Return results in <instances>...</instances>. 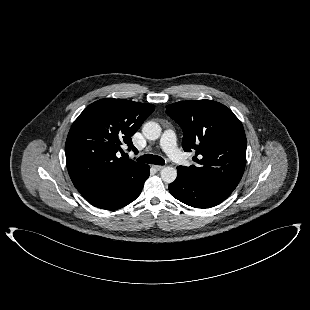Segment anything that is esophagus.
Here are the masks:
<instances>
[{
    "label": "esophagus",
    "mask_w": 310,
    "mask_h": 310,
    "mask_svg": "<svg viewBox=\"0 0 310 310\" xmlns=\"http://www.w3.org/2000/svg\"><path fill=\"white\" fill-rule=\"evenodd\" d=\"M153 168H155L157 171H160L164 168V166H160V165H153Z\"/></svg>",
    "instance_id": "esophagus-1"
}]
</instances>
